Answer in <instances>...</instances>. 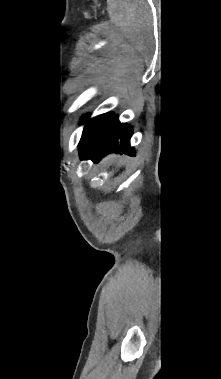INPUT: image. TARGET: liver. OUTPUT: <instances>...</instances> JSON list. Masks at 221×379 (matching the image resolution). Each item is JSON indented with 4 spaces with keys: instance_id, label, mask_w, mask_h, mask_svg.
I'll list each match as a JSON object with an SVG mask.
<instances>
[{
    "instance_id": "liver-1",
    "label": "liver",
    "mask_w": 221,
    "mask_h": 379,
    "mask_svg": "<svg viewBox=\"0 0 221 379\" xmlns=\"http://www.w3.org/2000/svg\"><path fill=\"white\" fill-rule=\"evenodd\" d=\"M118 158L117 155H110L108 156L106 159H104L105 162H111V161H114Z\"/></svg>"
}]
</instances>
